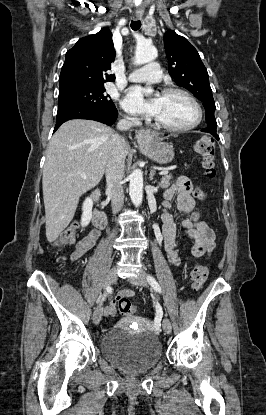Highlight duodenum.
Here are the masks:
<instances>
[{
    "label": "duodenum",
    "mask_w": 266,
    "mask_h": 415,
    "mask_svg": "<svg viewBox=\"0 0 266 415\" xmlns=\"http://www.w3.org/2000/svg\"><path fill=\"white\" fill-rule=\"evenodd\" d=\"M100 192L98 190L94 191L91 195V200L94 204L92 209V221L93 224L98 228H104L107 224V216L104 211L96 207V204L99 201Z\"/></svg>",
    "instance_id": "1"
}]
</instances>
